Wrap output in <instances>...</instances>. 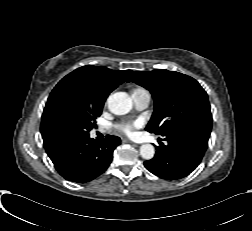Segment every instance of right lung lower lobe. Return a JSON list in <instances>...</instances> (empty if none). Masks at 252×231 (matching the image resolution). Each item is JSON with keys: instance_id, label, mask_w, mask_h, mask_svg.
<instances>
[{"instance_id": "98d812e1", "label": "right lung lower lobe", "mask_w": 252, "mask_h": 231, "mask_svg": "<svg viewBox=\"0 0 252 231\" xmlns=\"http://www.w3.org/2000/svg\"><path fill=\"white\" fill-rule=\"evenodd\" d=\"M119 144L117 136L107 135L98 143L86 135L63 143L49 157L66 180L86 183L108 168L113 151Z\"/></svg>"}]
</instances>
